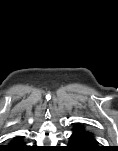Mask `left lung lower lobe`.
Wrapping results in <instances>:
<instances>
[{
    "mask_svg": "<svg viewBox=\"0 0 118 151\" xmlns=\"http://www.w3.org/2000/svg\"><path fill=\"white\" fill-rule=\"evenodd\" d=\"M96 145V141L92 137L74 127L66 151H100V148Z\"/></svg>",
    "mask_w": 118,
    "mask_h": 151,
    "instance_id": "0a47b994",
    "label": "left lung lower lobe"
}]
</instances>
